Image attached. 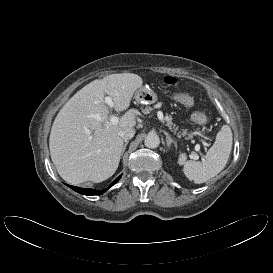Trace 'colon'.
Returning <instances> with one entry per match:
<instances>
[{
  "mask_svg": "<svg viewBox=\"0 0 273 273\" xmlns=\"http://www.w3.org/2000/svg\"><path fill=\"white\" fill-rule=\"evenodd\" d=\"M164 81L167 85L176 84V79L173 77H166ZM176 99L185 106H192L194 103V99L189 93H178ZM192 120L196 123L204 124L207 122V116L201 112H195L192 114Z\"/></svg>",
  "mask_w": 273,
  "mask_h": 273,
  "instance_id": "colon-1",
  "label": "colon"
}]
</instances>
